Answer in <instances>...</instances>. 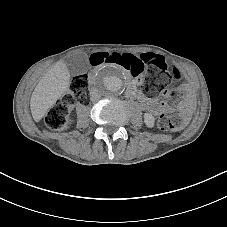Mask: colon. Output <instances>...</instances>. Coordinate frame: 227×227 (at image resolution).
<instances>
[{
  "mask_svg": "<svg viewBox=\"0 0 227 227\" xmlns=\"http://www.w3.org/2000/svg\"><path fill=\"white\" fill-rule=\"evenodd\" d=\"M91 63L95 66L113 63L133 76H140L145 72L143 90L148 95L156 96L168 93L174 97L179 94V90L176 88L168 89V75L172 73L176 81L180 79V75L160 55L153 53L134 55L130 53L103 52L94 54L91 57ZM87 86L88 79L86 75H78L72 79L69 92L56 102L45 116V123L49 128H60L67 122L74 105L87 103ZM182 123L183 117L178 114L163 113L158 119V126L164 131L178 130Z\"/></svg>",
  "mask_w": 227,
  "mask_h": 227,
  "instance_id": "colon-1",
  "label": "colon"
}]
</instances>
